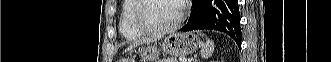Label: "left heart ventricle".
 Segmentation results:
<instances>
[{
    "label": "left heart ventricle",
    "instance_id": "1",
    "mask_svg": "<svg viewBox=\"0 0 331 62\" xmlns=\"http://www.w3.org/2000/svg\"><path fill=\"white\" fill-rule=\"evenodd\" d=\"M179 14L176 0H148L141 11L142 19L152 27L167 26L175 21Z\"/></svg>",
    "mask_w": 331,
    "mask_h": 62
}]
</instances>
